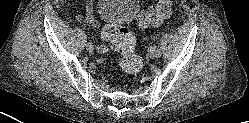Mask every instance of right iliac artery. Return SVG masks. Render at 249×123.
<instances>
[{
    "label": "right iliac artery",
    "instance_id": "obj_1",
    "mask_svg": "<svg viewBox=\"0 0 249 123\" xmlns=\"http://www.w3.org/2000/svg\"><path fill=\"white\" fill-rule=\"evenodd\" d=\"M97 49L101 53H106L108 51V48L106 46H103V45L97 46Z\"/></svg>",
    "mask_w": 249,
    "mask_h": 123
}]
</instances>
